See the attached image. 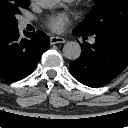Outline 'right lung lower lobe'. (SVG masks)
Instances as JSON below:
<instances>
[{
  "instance_id": "right-lung-lower-lobe-1",
  "label": "right lung lower lobe",
  "mask_w": 128,
  "mask_h": 128,
  "mask_svg": "<svg viewBox=\"0 0 128 128\" xmlns=\"http://www.w3.org/2000/svg\"><path fill=\"white\" fill-rule=\"evenodd\" d=\"M18 28L0 33V79L14 82L28 76L49 47V38L43 32H24Z\"/></svg>"
}]
</instances>
